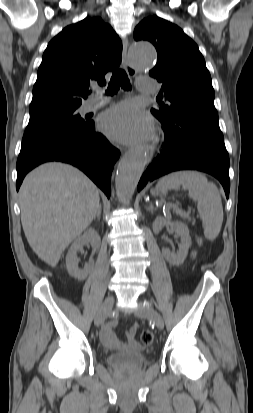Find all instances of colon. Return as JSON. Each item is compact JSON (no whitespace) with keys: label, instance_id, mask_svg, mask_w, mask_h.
Listing matches in <instances>:
<instances>
[{"label":"colon","instance_id":"colon-1","mask_svg":"<svg viewBox=\"0 0 253 413\" xmlns=\"http://www.w3.org/2000/svg\"><path fill=\"white\" fill-rule=\"evenodd\" d=\"M201 241L198 240V244H200ZM140 340L144 345H150L152 344L154 340V334L151 330H143L140 334Z\"/></svg>","mask_w":253,"mask_h":413}]
</instances>
